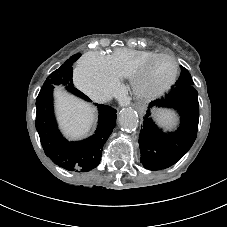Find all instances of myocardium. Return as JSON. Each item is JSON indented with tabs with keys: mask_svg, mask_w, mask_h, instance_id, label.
<instances>
[{
	"mask_svg": "<svg viewBox=\"0 0 227 227\" xmlns=\"http://www.w3.org/2000/svg\"><path fill=\"white\" fill-rule=\"evenodd\" d=\"M168 59L173 67L170 78L163 84L157 86H147L146 76L150 66L158 59ZM178 75V64L175 58L166 53H157L145 60L130 78L133 93L140 99L150 100L160 97L167 92L175 83Z\"/></svg>",
	"mask_w": 227,
	"mask_h": 227,
	"instance_id": "f54148a6",
	"label": "myocardium"
}]
</instances>
